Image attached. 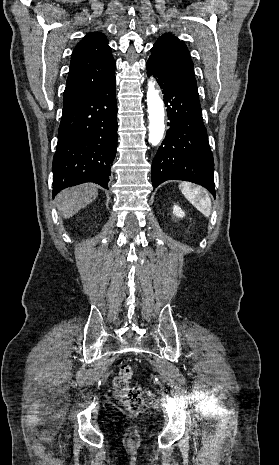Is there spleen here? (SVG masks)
<instances>
[{
	"instance_id": "obj_1",
	"label": "spleen",
	"mask_w": 279,
	"mask_h": 465,
	"mask_svg": "<svg viewBox=\"0 0 279 465\" xmlns=\"http://www.w3.org/2000/svg\"><path fill=\"white\" fill-rule=\"evenodd\" d=\"M179 189L182 191L186 199L204 216L208 217L210 215L211 200L207 192L202 187L182 182L179 185Z\"/></svg>"
}]
</instances>
